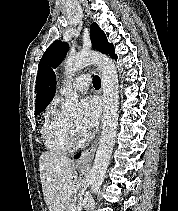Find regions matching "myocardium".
<instances>
[{"mask_svg": "<svg viewBox=\"0 0 178 211\" xmlns=\"http://www.w3.org/2000/svg\"><path fill=\"white\" fill-rule=\"evenodd\" d=\"M68 126H69V142L73 148H79L82 147L86 144L87 138L86 137H81L78 129L75 127V125L68 121Z\"/></svg>", "mask_w": 178, "mask_h": 211, "instance_id": "obj_1", "label": "myocardium"}]
</instances>
